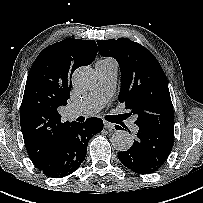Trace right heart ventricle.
Segmentation results:
<instances>
[{"mask_svg":"<svg viewBox=\"0 0 203 203\" xmlns=\"http://www.w3.org/2000/svg\"><path fill=\"white\" fill-rule=\"evenodd\" d=\"M101 61H104V62H107V63H113V64H115L114 61L111 60V59H104V60H101Z\"/></svg>","mask_w":203,"mask_h":203,"instance_id":"e07e8e85","label":"right heart ventricle"}]
</instances>
